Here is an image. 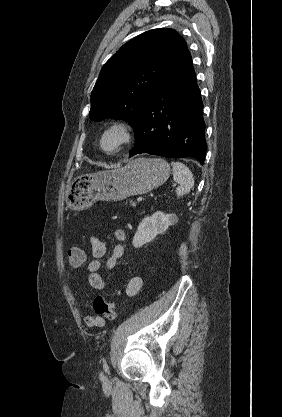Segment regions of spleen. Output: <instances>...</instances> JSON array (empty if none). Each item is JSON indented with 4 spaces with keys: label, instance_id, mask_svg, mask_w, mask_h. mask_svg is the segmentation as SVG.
Segmentation results:
<instances>
[{
    "label": "spleen",
    "instance_id": "3e777b00",
    "mask_svg": "<svg viewBox=\"0 0 282 417\" xmlns=\"http://www.w3.org/2000/svg\"><path fill=\"white\" fill-rule=\"evenodd\" d=\"M171 164L173 166V178L179 184L176 188L177 196L188 194L194 186V178L191 170L183 162H171Z\"/></svg>",
    "mask_w": 282,
    "mask_h": 417
}]
</instances>
